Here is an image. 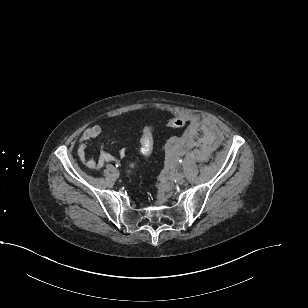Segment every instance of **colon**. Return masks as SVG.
<instances>
[{
    "label": "colon",
    "mask_w": 308,
    "mask_h": 308,
    "mask_svg": "<svg viewBox=\"0 0 308 308\" xmlns=\"http://www.w3.org/2000/svg\"><path fill=\"white\" fill-rule=\"evenodd\" d=\"M185 124V120L182 117L175 116L172 117L168 123L167 127L170 128H180ZM154 129L152 127H148L144 130L142 139H141V152L144 156L150 155L154 145Z\"/></svg>",
    "instance_id": "5ec220e1"
}]
</instances>
